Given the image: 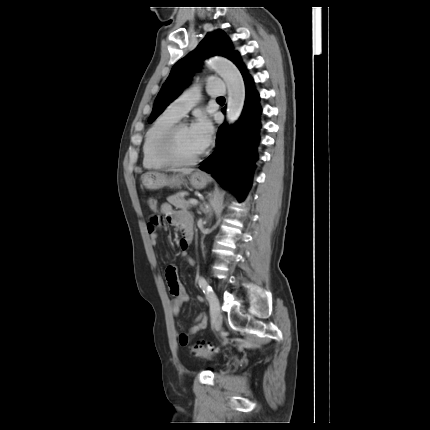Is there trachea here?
<instances>
[{
    "mask_svg": "<svg viewBox=\"0 0 430 430\" xmlns=\"http://www.w3.org/2000/svg\"><path fill=\"white\" fill-rule=\"evenodd\" d=\"M217 99H218V100H223V99H224V97H218Z\"/></svg>",
    "mask_w": 430,
    "mask_h": 430,
    "instance_id": "1",
    "label": "trachea"
}]
</instances>
